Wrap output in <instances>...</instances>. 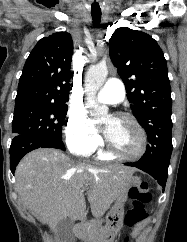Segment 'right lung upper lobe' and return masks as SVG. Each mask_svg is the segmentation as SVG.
Wrapping results in <instances>:
<instances>
[{
	"mask_svg": "<svg viewBox=\"0 0 187 242\" xmlns=\"http://www.w3.org/2000/svg\"><path fill=\"white\" fill-rule=\"evenodd\" d=\"M72 37L58 32L42 38L31 51L19 80L15 107L66 105L69 100Z\"/></svg>",
	"mask_w": 187,
	"mask_h": 242,
	"instance_id": "cb5924a9",
	"label": "right lung upper lobe"
}]
</instances>
